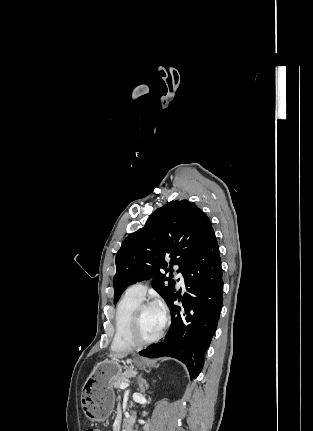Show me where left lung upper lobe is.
<instances>
[{
  "mask_svg": "<svg viewBox=\"0 0 313 431\" xmlns=\"http://www.w3.org/2000/svg\"><path fill=\"white\" fill-rule=\"evenodd\" d=\"M212 228L207 215L188 200L171 201L158 208L143 228L130 234L116 255V274L113 278L114 303L127 286L153 278V288L170 301L175 282L162 273L170 265H178L182 272L195 257L208 231ZM169 281L168 286L164 282Z\"/></svg>",
  "mask_w": 313,
  "mask_h": 431,
  "instance_id": "left-lung-upper-lobe-1",
  "label": "left lung upper lobe"
}]
</instances>
